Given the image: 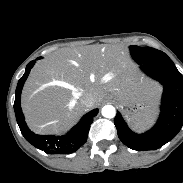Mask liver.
Wrapping results in <instances>:
<instances>
[{
    "mask_svg": "<svg viewBox=\"0 0 183 183\" xmlns=\"http://www.w3.org/2000/svg\"><path fill=\"white\" fill-rule=\"evenodd\" d=\"M107 91L128 101L156 102L160 89L135 74L123 48L89 45L62 49L39 61L24 85L21 104L33 131L52 134L66 130L88 108L99 105ZM86 92L94 95L88 108L80 102Z\"/></svg>",
    "mask_w": 183,
    "mask_h": 183,
    "instance_id": "1",
    "label": "liver"
}]
</instances>
